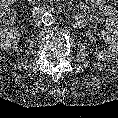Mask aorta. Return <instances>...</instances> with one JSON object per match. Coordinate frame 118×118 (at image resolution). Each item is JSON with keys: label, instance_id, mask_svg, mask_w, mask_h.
<instances>
[{"label": "aorta", "instance_id": "obj_1", "mask_svg": "<svg viewBox=\"0 0 118 118\" xmlns=\"http://www.w3.org/2000/svg\"><path fill=\"white\" fill-rule=\"evenodd\" d=\"M42 22L45 26H50L55 22V18L51 13H45L42 16Z\"/></svg>", "mask_w": 118, "mask_h": 118}]
</instances>
